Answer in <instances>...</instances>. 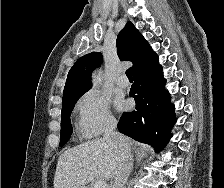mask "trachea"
Masks as SVG:
<instances>
[{
	"label": "trachea",
	"mask_w": 224,
	"mask_h": 188,
	"mask_svg": "<svg viewBox=\"0 0 224 188\" xmlns=\"http://www.w3.org/2000/svg\"><path fill=\"white\" fill-rule=\"evenodd\" d=\"M126 76L128 77V79H133V78H132V70H131V69H128V70L126 71Z\"/></svg>",
	"instance_id": "3493384b"
}]
</instances>
